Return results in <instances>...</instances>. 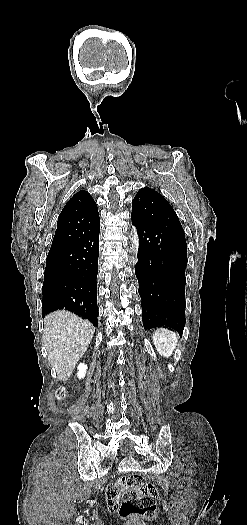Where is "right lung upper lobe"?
<instances>
[{"mask_svg":"<svg viewBox=\"0 0 247 525\" xmlns=\"http://www.w3.org/2000/svg\"><path fill=\"white\" fill-rule=\"evenodd\" d=\"M100 226L97 204L85 190L77 192L61 211L49 252L61 249Z\"/></svg>","mask_w":247,"mask_h":525,"instance_id":"obj_1","label":"right lung upper lobe"}]
</instances>
